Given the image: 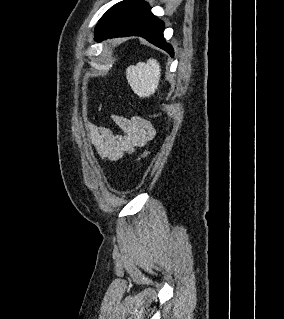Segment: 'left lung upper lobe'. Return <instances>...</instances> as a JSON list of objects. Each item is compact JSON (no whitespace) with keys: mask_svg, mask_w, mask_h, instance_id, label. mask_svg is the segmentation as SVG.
I'll use <instances>...</instances> for the list:
<instances>
[{"mask_svg":"<svg viewBox=\"0 0 284 319\" xmlns=\"http://www.w3.org/2000/svg\"><path fill=\"white\" fill-rule=\"evenodd\" d=\"M122 2H119L115 4L113 7H111L99 20L96 28H95V36H97L105 27L106 25L111 21V19L114 17L120 6L122 5Z\"/></svg>","mask_w":284,"mask_h":319,"instance_id":"1","label":"left lung upper lobe"}]
</instances>
